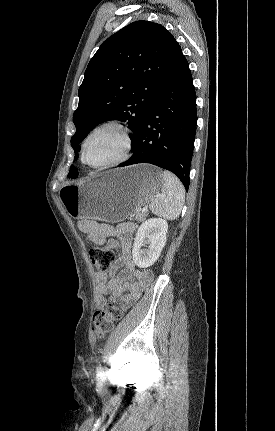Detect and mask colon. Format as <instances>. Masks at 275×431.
I'll use <instances>...</instances> for the list:
<instances>
[{
    "label": "colon",
    "mask_w": 275,
    "mask_h": 431,
    "mask_svg": "<svg viewBox=\"0 0 275 431\" xmlns=\"http://www.w3.org/2000/svg\"><path fill=\"white\" fill-rule=\"evenodd\" d=\"M90 259L94 267L99 272H106L115 259L113 250L110 247H92L89 251ZM123 309L110 301L94 313L93 331L98 337H104L112 331L116 321L123 316Z\"/></svg>",
    "instance_id": "colon-1"
}]
</instances>
